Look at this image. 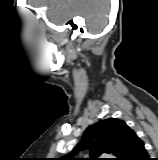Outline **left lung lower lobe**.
Here are the masks:
<instances>
[{
    "label": "left lung lower lobe",
    "instance_id": "left-lung-lower-lobe-1",
    "mask_svg": "<svg viewBox=\"0 0 158 160\" xmlns=\"http://www.w3.org/2000/svg\"><path fill=\"white\" fill-rule=\"evenodd\" d=\"M122 160H150L143 141L134 133Z\"/></svg>",
    "mask_w": 158,
    "mask_h": 160
}]
</instances>
